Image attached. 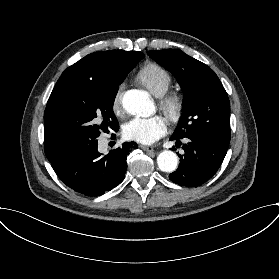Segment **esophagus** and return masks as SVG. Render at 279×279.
<instances>
[{
    "label": "esophagus",
    "mask_w": 279,
    "mask_h": 279,
    "mask_svg": "<svg viewBox=\"0 0 279 279\" xmlns=\"http://www.w3.org/2000/svg\"><path fill=\"white\" fill-rule=\"evenodd\" d=\"M139 147H140L142 150L148 152L152 157L154 156V149H153L152 146L140 144Z\"/></svg>",
    "instance_id": "obj_1"
}]
</instances>
